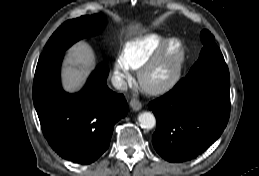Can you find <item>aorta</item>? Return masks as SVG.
I'll list each match as a JSON object with an SVG mask.
<instances>
[{"label": "aorta", "instance_id": "aorta-1", "mask_svg": "<svg viewBox=\"0 0 259 176\" xmlns=\"http://www.w3.org/2000/svg\"><path fill=\"white\" fill-rule=\"evenodd\" d=\"M138 122L142 128L152 129L156 125L155 116L150 112H142L138 116Z\"/></svg>", "mask_w": 259, "mask_h": 176}]
</instances>
